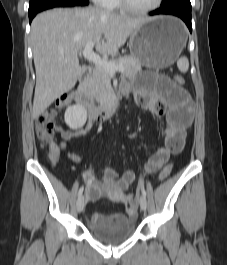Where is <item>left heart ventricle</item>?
Segmentation results:
<instances>
[{"label":"left heart ventricle","instance_id":"obj_1","mask_svg":"<svg viewBox=\"0 0 227 265\" xmlns=\"http://www.w3.org/2000/svg\"><path fill=\"white\" fill-rule=\"evenodd\" d=\"M130 4L135 8H148L152 6L156 0H129Z\"/></svg>","mask_w":227,"mask_h":265}]
</instances>
